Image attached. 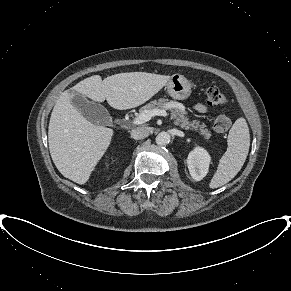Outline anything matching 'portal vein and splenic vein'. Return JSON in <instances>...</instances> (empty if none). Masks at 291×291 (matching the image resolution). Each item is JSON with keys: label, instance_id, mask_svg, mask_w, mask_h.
Returning a JSON list of instances; mask_svg holds the SVG:
<instances>
[{"label": "portal vein and splenic vein", "instance_id": "obj_1", "mask_svg": "<svg viewBox=\"0 0 291 291\" xmlns=\"http://www.w3.org/2000/svg\"><path fill=\"white\" fill-rule=\"evenodd\" d=\"M154 116H168V113L165 110L154 109V110H146L141 113L137 118L134 119L133 123L136 125L143 124L149 121Z\"/></svg>", "mask_w": 291, "mask_h": 291}]
</instances>
